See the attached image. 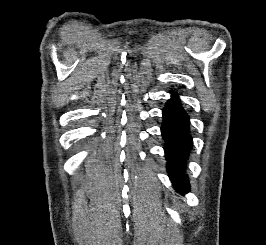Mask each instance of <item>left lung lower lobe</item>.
Segmentation results:
<instances>
[{"instance_id":"1","label":"left lung lower lobe","mask_w":266,"mask_h":245,"mask_svg":"<svg viewBox=\"0 0 266 245\" xmlns=\"http://www.w3.org/2000/svg\"><path fill=\"white\" fill-rule=\"evenodd\" d=\"M171 94L172 99L168 100L162 111L161 127V134L166 143L164 151L168 160L167 171L175 189L189 192L190 184L185 174L186 161L192 149L189 115L182 107L177 93L172 91Z\"/></svg>"}]
</instances>
